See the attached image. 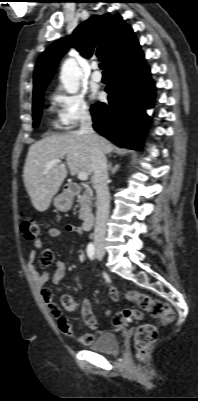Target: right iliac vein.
Here are the masks:
<instances>
[{
    "instance_id": "1",
    "label": "right iliac vein",
    "mask_w": 198,
    "mask_h": 401,
    "mask_svg": "<svg viewBox=\"0 0 198 401\" xmlns=\"http://www.w3.org/2000/svg\"><path fill=\"white\" fill-rule=\"evenodd\" d=\"M97 252H98V254L102 257V256H104V251H103V249H102V247H98L97 248Z\"/></svg>"
}]
</instances>
